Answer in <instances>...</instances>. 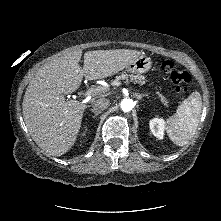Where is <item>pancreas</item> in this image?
<instances>
[{
  "mask_svg": "<svg viewBox=\"0 0 221 221\" xmlns=\"http://www.w3.org/2000/svg\"><path fill=\"white\" fill-rule=\"evenodd\" d=\"M120 80H130L131 82L138 83L140 85H144L146 83L145 77L140 75H133V74H121L119 76H116L115 79L112 81V85H116ZM157 95L159 96L161 102L167 106L168 101L165 96L160 94V92H157Z\"/></svg>",
  "mask_w": 221,
  "mask_h": 221,
  "instance_id": "cf45deb5",
  "label": "pancreas"
}]
</instances>
